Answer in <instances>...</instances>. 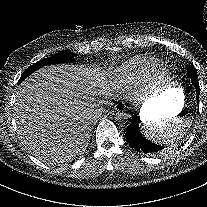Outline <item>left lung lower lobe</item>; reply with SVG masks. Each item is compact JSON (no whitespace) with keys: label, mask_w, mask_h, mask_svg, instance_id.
<instances>
[{"label":"left lung lower lobe","mask_w":207,"mask_h":207,"mask_svg":"<svg viewBox=\"0 0 207 207\" xmlns=\"http://www.w3.org/2000/svg\"><path fill=\"white\" fill-rule=\"evenodd\" d=\"M190 79L196 88V92H197L196 99L199 104L200 88H199V83H198V76H193ZM139 123H140V119L135 113L129 128L127 129V132L125 133L127 142L130 144V146L134 148L135 150H137L138 152H144L148 154L155 153V152L162 150L163 147L156 145L154 143H151L150 141H148L147 139L143 137V135L141 134L139 130V126H138Z\"/></svg>","instance_id":"0a47b994"}]
</instances>
